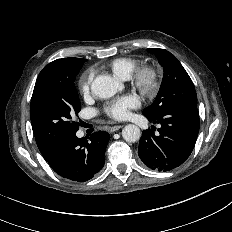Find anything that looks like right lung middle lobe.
I'll return each mask as SVG.
<instances>
[{"instance_id": "1", "label": "right lung middle lobe", "mask_w": 232, "mask_h": 232, "mask_svg": "<svg viewBox=\"0 0 232 232\" xmlns=\"http://www.w3.org/2000/svg\"><path fill=\"white\" fill-rule=\"evenodd\" d=\"M86 59L62 58L45 66L33 90L30 116L37 146L42 155L52 154L62 139L76 133L74 117L81 110L75 77Z\"/></svg>"}]
</instances>
